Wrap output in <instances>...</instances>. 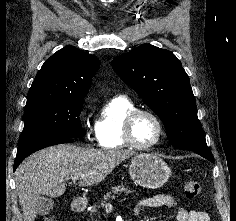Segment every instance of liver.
<instances>
[{
    "label": "liver",
    "instance_id": "1",
    "mask_svg": "<svg viewBox=\"0 0 236 221\" xmlns=\"http://www.w3.org/2000/svg\"><path fill=\"white\" fill-rule=\"evenodd\" d=\"M133 153L129 150H97L74 145L43 149L27 158L16 170V191L24 221H34L40 195L59 197L66 182L77 177L79 186L100 183Z\"/></svg>",
    "mask_w": 236,
    "mask_h": 221
}]
</instances>
